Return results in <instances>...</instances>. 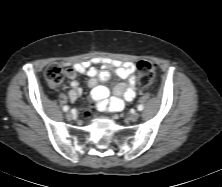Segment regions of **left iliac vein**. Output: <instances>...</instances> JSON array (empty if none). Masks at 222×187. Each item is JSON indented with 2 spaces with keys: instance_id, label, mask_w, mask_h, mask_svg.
Listing matches in <instances>:
<instances>
[{
  "instance_id": "1",
  "label": "left iliac vein",
  "mask_w": 222,
  "mask_h": 187,
  "mask_svg": "<svg viewBox=\"0 0 222 187\" xmlns=\"http://www.w3.org/2000/svg\"><path fill=\"white\" fill-rule=\"evenodd\" d=\"M140 117V114L138 112H134L131 115H129L128 119L130 121H136Z\"/></svg>"
}]
</instances>
